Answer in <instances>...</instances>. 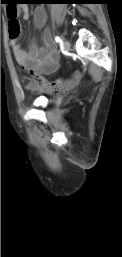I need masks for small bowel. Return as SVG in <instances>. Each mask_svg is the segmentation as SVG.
Masks as SVG:
<instances>
[{"instance_id": "small-bowel-1", "label": "small bowel", "mask_w": 122, "mask_h": 257, "mask_svg": "<svg viewBox=\"0 0 122 257\" xmlns=\"http://www.w3.org/2000/svg\"><path fill=\"white\" fill-rule=\"evenodd\" d=\"M7 10V14H8ZM21 13L24 20L30 18L27 6H20L16 10ZM47 14L44 8L37 7L33 13V23L37 29L44 27ZM44 46L38 47L32 44L29 51L22 48L18 38L10 39V46L17 63L27 70L30 74H52L58 69V53L51 40L50 34L45 32L43 35Z\"/></svg>"}]
</instances>
